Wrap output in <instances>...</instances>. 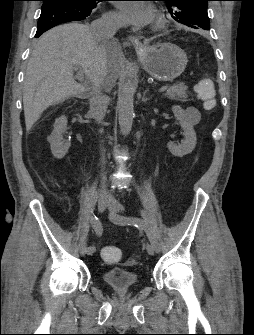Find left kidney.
I'll return each instance as SVG.
<instances>
[{
	"label": "left kidney",
	"mask_w": 254,
	"mask_h": 335,
	"mask_svg": "<svg viewBox=\"0 0 254 335\" xmlns=\"http://www.w3.org/2000/svg\"><path fill=\"white\" fill-rule=\"evenodd\" d=\"M172 112L183 129L185 139L178 145L173 142H169L167 147L174 156L183 157L194 150L197 143L196 133L193 125L188 122L185 111L180 106H173Z\"/></svg>",
	"instance_id": "1"
}]
</instances>
